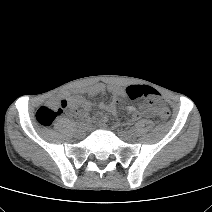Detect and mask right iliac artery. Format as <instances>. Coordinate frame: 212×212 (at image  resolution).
I'll list each match as a JSON object with an SVG mask.
<instances>
[{
	"instance_id": "82829eb1",
	"label": "right iliac artery",
	"mask_w": 212,
	"mask_h": 212,
	"mask_svg": "<svg viewBox=\"0 0 212 212\" xmlns=\"http://www.w3.org/2000/svg\"><path fill=\"white\" fill-rule=\"evenodd\" d=\"M85 126H86V123H84V122H80L77 125L78 128H84Z\"/></svg>"
}]
</instances>
